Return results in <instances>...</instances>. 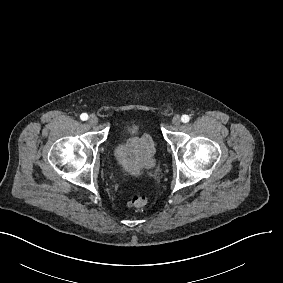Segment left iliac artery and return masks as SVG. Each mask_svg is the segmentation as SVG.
Wrapping results in <instances>:
<instances>
[{
	"instance_id": "obj_1",
	"label": "left iliac artery",
	"mask_w": 283,
	"mask_h": 283,
	"mask_svg": "<svg viewBox=\"0 0 283 283\" xmlns=\"http://www.w3.org/2000/svg\"><path fill=\"white\" fill-rule=\"evenodd\" d=\"M189 116L188 115H183L182 117H181V120H182V122H184V123H187V122H189Z\"/></svg>"
}]
</instances>
